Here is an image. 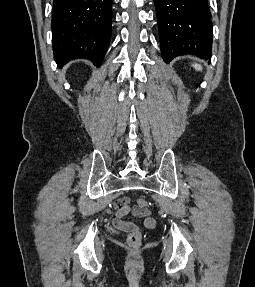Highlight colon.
<instances>
[{
    "mask_svg": "<svg viewBox=\"0 0 255 287\" xmlns=\"http://www.w3.org/2000/svg\"><path fill=\"white\" fill-rule=\"evenodd\" d=\"M137 205L140 209L147 208V202L143 199H139L137 201ZM140 240H141V233L139 231L131 232L127 238V242L131 246H136L137 244H139Z\"/></svg>",
    "mask_w": 255,
    "mask_h": 287,
    "instance_id": "5ec220e1",
    "label": "colon"
}]
</instances>
